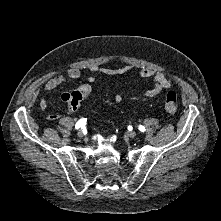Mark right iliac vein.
Instances as JSON below:
<instances>
[{"mask_svg": "<svg viewBox=\"0 0 221 221\" xmlns=\"http://www.w3.org/2000/svg\"><path fill=\"white\" fill-rule=\"evenodd\" d=\"M78 137L83 138L84 137V132L82 130H79L77 132Z\"/></svg>", "mask_w": 221, "mask_h": 221, "instance_id": "right-iliac-vein-1", "label": "right iliac vein"}]
</instances>
